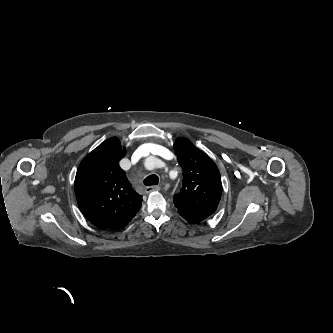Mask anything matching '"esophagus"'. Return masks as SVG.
Masks as SVG:
<instances>
[{"mask_svg":"<svg viewBox=\"0 0 333 333\" xmlns=\"http://www.w3.org/2000/svg\"><path fill=\"white\" fill-rule=\"evenodd\" d=\"M160 189V186H148L146 187L145 191L146 193H151L153 191H159Z\"/></svg>","mask_w":333,"mask_h":333,"instance_id":"1","label":"esophagus"}]
</instances>
